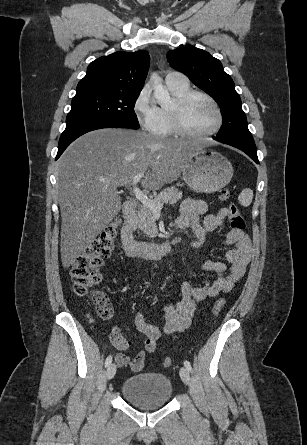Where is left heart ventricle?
<instances>
[{"label":"left heart ventricle","mask_w":307,"mask_h":445,"mask_svg":"<svg viewBox=\"0 0 307 445\" xmlns=\"http://www.w3.org/2000/svg\"><path fill=\"white\" fill-rule=\"evenodd\" d=\"M186 124L195 132H206L214 129L219 121L216 108L206 100L196 98L185 109Z\"/></svg>","instance_id":"left-heart-ventricle-1"}]
</instances>
